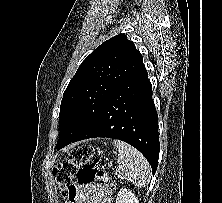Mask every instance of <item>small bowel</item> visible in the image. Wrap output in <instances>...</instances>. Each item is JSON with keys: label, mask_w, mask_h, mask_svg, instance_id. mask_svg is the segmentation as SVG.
<instances>
[{"label": "small bowel", "mask_w": 222, "mask_h": 203, "mask_svg": "<svg viewBox=\"0 0 222 203\" xmlns=\"http://www.w3.org/2000/svg\"><path fill=\"white\" fill-rule=\"evenodd\" d=\"M70 203H111L110 190L101 184L75 183L69 190Z\"/></svg>", "instance_id": "small-bowel-1"}]
</instances>
